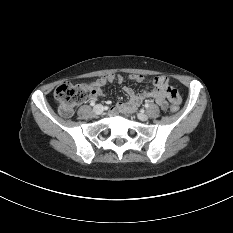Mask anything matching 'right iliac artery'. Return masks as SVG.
<instances>
[{
    "mask_svg": "<svg viewBox=\"0 0 233 233\" xmlns=\"http://www.w3.org/2000/svg\"><path fill=\"white\" fill-rule=\"evenodd\" d=\"M90 105L94 106L95 105V101H91Z\"/></svg>",
    "mask_w": 233,
    "mask_h": 233,
    "instance_id": "82829eb1",
    "label": "right iliac artery"
}]
</instances>
